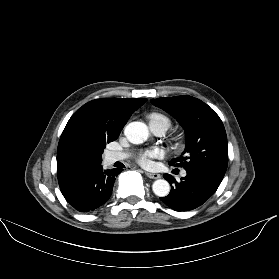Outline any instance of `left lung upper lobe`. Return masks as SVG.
<instances>
[{"mask_svg":"<svg viewBox=\"0 0 279 279\" xmlns=\"http://www.w3.org/2000/svg\"><path fill=\"white\" fill-rule=\"evenodd\" d=\"M151 103L170 113L185 130V150L170 165L201 169L222 180L228 165V150L219 116L201 100L187 95L152 99Z\"/></svg>","mask_w":279,"mask_h":279,"instance_id":"obj_1","label":"left lung upper lobe"}]
</instances>
